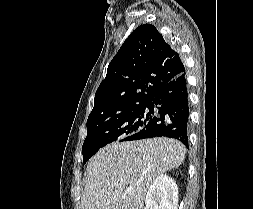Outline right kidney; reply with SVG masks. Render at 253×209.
Returning <instances> with one entry per match:
<instances>
[{"mask_svg": "<svg viewBox=\"0 0 253 209\" xmlns=\"http://www.w3.org/2000/svg\"><path fill=\"white\" fill-rule=\"evenodd\" d=\"M145 209H177L178 187L166 174L159 175L149 187Z\"/></svg>", "mask_w": 253, "mask_h": 209, "instance_id": "right-kidney-1", "label": "right kidney"}]
</instances>
